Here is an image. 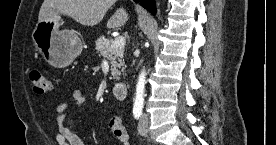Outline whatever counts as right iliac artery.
Masks as SVG:
<instances>
[{
    "label": "right iliac artery",
    "mask_w": 276,
    "mask_h": 145,
    "mask_svg": "<svg viewBox=\"0 0 276 145\" xmlns=\"http://www.w3.org/2000/svg\"><path fill=\"white\" fill-rule=\"evenodd\" d=\"M141 114H142V108L141 107H134L133 108V115H134L135 119H139Z\"/></svg>",
    "instance_id": "82829eb1"
}]
</instances>
